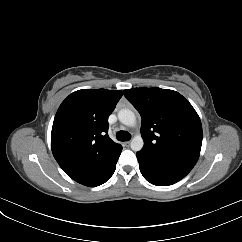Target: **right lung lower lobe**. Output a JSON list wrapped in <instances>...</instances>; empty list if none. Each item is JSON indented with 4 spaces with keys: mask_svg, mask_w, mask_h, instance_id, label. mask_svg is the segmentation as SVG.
Segmentation results:
<instances>
[{
    "mask_svg": "<svg viewBox=\"0 0 242 242\" xmlns=\"http://www.w3.org/2000/svg\"><path fill=\"white\" fill-rule=\"evenodd\" d=\"M122 148L99 162L91 171L82 176L78 180V183L95 187L99 186L110 179L116 169V163L121 154Z\"/></svg>",
    "mask_w": 242,
    "mask_h": 242,
    "instance_id": "obj_1",
    "label": "right lung lower lobe"
}]
</instances>
